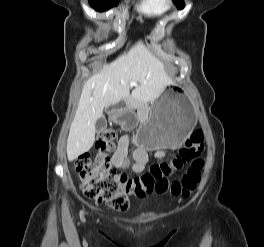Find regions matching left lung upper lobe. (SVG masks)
Listing matches in <instances>:
<instances>
[{"mask_svg": "<svg viewBox=\"0 0 264 247\" xmlns=\"http://www.w3.org/2000/svg\"><path fill=\"white\" fill-rule=\"evenodd\" d=\"M174 2L176 3L177 7L180 9H182L184 7L183 0H174Z\"/></svg>", "mask_w": 264, "mask_h": 247, "instance_id": "1", "label": "left lung upper lobe"}]
</instances>
